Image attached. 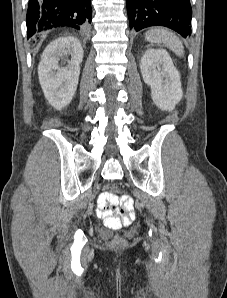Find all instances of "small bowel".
<instances>
[{
  "mask_svg": "<svg viewBox=\"0 0 227 298\" xmlns=\"http://www.w3.org/2000/svg\"><path fill=\"white\" fill-rule=\"evenodd\" d=\"M97 215L100 216V217H105V213L99 207L97 208ZM131 217H132V211L130 210L129 211V216L124 217L122 219V223L123 224H128L131 220Z\"/></svg>",
  "mask_w": 227,
  "mask_h": 298,
  "instance_id": "1",
  "label": "small bowel"
}]
</instances>
